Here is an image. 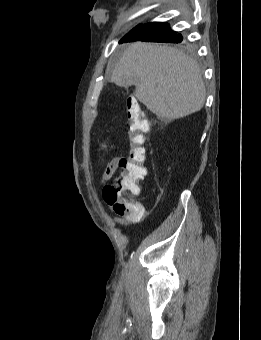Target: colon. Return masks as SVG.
I'll return each instance as SVG.
<instances>
[{"instance_id":"obj_1","label":"colon","mask_w":261,"mask_h":340,"mask_svg":"<svg viewBox=\"0 0 261 340\" xmlns=\"http://www.w3.org/2000/svg\"><path fill=\"white\" fill-rule=\"evenodd\" d=\"M147 131L148 123L144 119L139 103L129 98L126 119L129 152L127 157L119 161L118 177L103 190L105 202L119 215L136 216L144 212L143 206L133 198L140 194V181L147 175L145 167L147 151L144 146Z\"/></svg>"}]
</instances>
